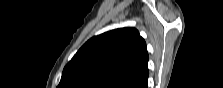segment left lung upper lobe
Listing matches in <instances>:
<instances>
[{
	"instance_id": "5c2ea615",
	"label": "left lung upper lobe",
	"mask_w": 223,
	"mask_h": 88,
	"mask_svg": "<svg viewBox=\"0 0 223 88\" xmlns=\"http://www.w3.org/2000/svg\"><path fill=\"white\" fill-rule=\"evenodd\" d=\"M146 43L134 28L88 40L65 66L58 88H136L148 78Z\"/></svg>"
}]
</instances>
